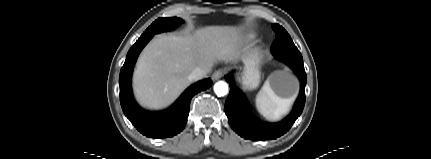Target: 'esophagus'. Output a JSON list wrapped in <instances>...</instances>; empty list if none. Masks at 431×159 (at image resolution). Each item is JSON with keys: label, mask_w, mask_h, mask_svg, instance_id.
<instances>
[{"label": "esophagus", "mask_w": 431, "mask_h": 159, "mask_svg": "<svg viewBox=\"0 0 431 159\" xmlns=\"http://www.w3.org/2000/svg\"><path fill=\"white\" fill-rule=\"evenodd\" d=\"M224 73H225V71L224 70H217V71H215L214 73H213V75H212V79L215 81V80H219L220 78H222L223 77V75H224Z\"/></svg>", "instance_id": "esophagus-1"}]
</instances>
